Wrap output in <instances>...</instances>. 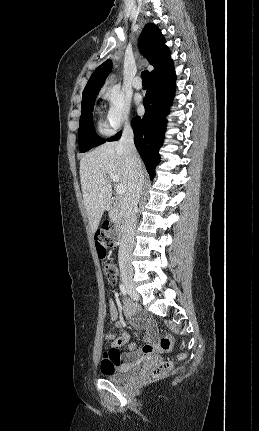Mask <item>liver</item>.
<instances>
[{"instance_id":"6515ba94","label":"liver","mask_w":259,"mask_h":431,"mask_svg":"<svg viewBox=\"0 0 259 431\" xmlns=\"http://www.w3.org/2000/svg\"><path fill=\"white\" fill-rule=\"evenodd\" d=\"M143 171V165H141ZM116 174L126 192L131 183L124 152L120 142H106L96 147L80 160V181L83 201L92 232L98 229L104 210L112 198V186L108 180ZM104 178L105 181H101Z\"/></svg>"}]
</instances>
